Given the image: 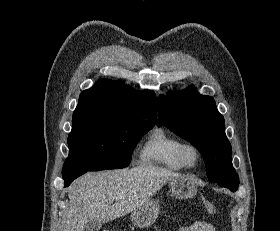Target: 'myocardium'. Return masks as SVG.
Wrapping results in <instances>:
<instances>
[{
    "instance_id": "1",
    "label": "myocardium",
    "mask_w": 280,
    "mask_h": 231,
    "mask_svg": "<svg viewBox=\"0 0 280 231\" xmlns=\"http://www.w3.org/2000/svg\"><path fill=\"white\" fill-rule=\"evenodd\" d=\"M188 147L194 148L196 150L197 154H198L199 161H198L197 165L194 168L188 167L186 165L185 161H184V158H183L184 150L186 148H188ZM177 157H178V160H179L181 166L185 170H188V171H194V170L198 169L200 167V165L202 164V162H203V152H202V149L200 148V146L197 143H195L193 141H189V140L181 141V143L179 144V147H178Z\"/></svg>"
}]
</instances>
